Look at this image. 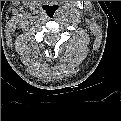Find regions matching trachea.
Segmentation results:
<instances>
[{
	"mask_svg": "<svg viewBox=\"0 0 121 121\" xmlns=\"http://www.w3.org/2000/svg\"><path fill=\"white\" fill-rule=\"evenodd\" d=\"M56 8H54V7H48L47 9H46V14H47V16L49 17V18H53L55 15H56Z\"/></svg>",
	"mask_w": 121,
	"mask_h": 121,
	"instance_id": "3493384b",
	"label": "trachea"
}]
</instances>
